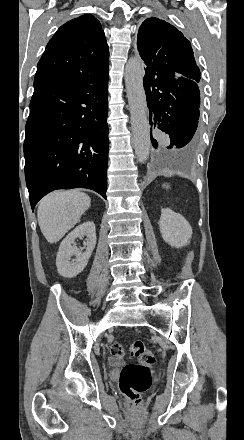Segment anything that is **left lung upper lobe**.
Returning <instances> with one entry per match:
<instances>
[{
  "label": "left lung upper lobe",
  "instance_id": "5c2ea615",
  "mask_svg": "<svg viewBox=\"0 0 244 440\" xmlns=\"http://www.w3.org/2000/svg\"><path fill=\"white\" fill-rule=\"evenodd\" d=\"M137 48L146 67L171 71L178 77L200 80L191 43L168 22L147 18L140 26Z\"/></svg>",
  "mask_w": 244,
  "mask_h": 440
}]
</instances>
